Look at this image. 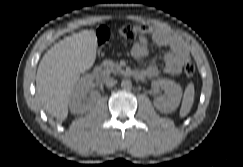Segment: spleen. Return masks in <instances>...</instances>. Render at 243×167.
<instances>
[{"label":"spleen","mask_w":243,"mask_h":167,"mask_svg":"<svg viewBox=\"0 0 243 167\" xmlns=\"http://www.w3.org/2000/svg\"><path fill=\"white\" fill-rule=\"evenodd\" d=\"M193 102H194V84L189 83L185 89L183 100H182V105L180 109L181 117L186 116L190 112Z\"/></svg>","instance_id":"1"}]
</instances>
